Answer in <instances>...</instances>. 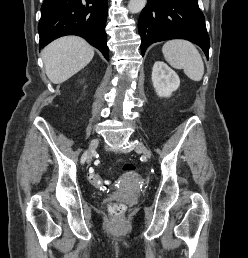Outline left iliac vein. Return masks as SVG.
I'll return each instance as SVG.
<instances>
[{
  "label": "left iliac vein",
  "mask_w": 248,
  "mask_h": 258,
  "mask_svg": "<svg viewBox=\"0 0 248 258\" xmlns=\"http://www.w3.org/2000/svg\"><path fill=\"white\" fill-rule=\"evenodd\" d=\"M135 149L137 151L142 152L148 159H150L152 157L151 152L142 143H138L136 145Z\"/></svg>",
  "instance_id": "obj_1"
}]
</instances>
